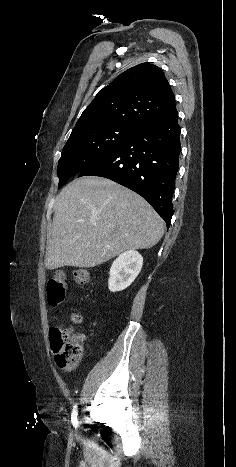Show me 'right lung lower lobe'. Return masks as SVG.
<instances>
[{
	"instance_id": "1",
	"label": "right lung lower lobe",
	"mask_w": 236,
	"mask_h": 467,
	"mask_svg": "<svg viewBox=\"0 0 236 467\" xmlns=\"http://www.w3.org/2000/svg\"><path fill=\"white\" fill-rule=\"evenodd\" d=\"M180 132L175 109L137 129L115 150L81 171L79 177L101 176L135 191L169 227L179 168Z\"/></svg>"
}]
</instances>
